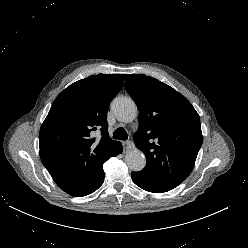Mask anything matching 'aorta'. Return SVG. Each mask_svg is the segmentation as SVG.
<instances>
[{
	"label": "aorta",
	"instance_id": "1",
	"mask_svg": "<svg viewBox=\"0 0 248 248\" xmlns=\"http://www.w3.org/2000/svg\"><path fill=\"white\" fill-rule=\"evenodd\" d=\"M113 111L116 118L124 123L132 122L138 114L135 102L129 97H120L113 102ZM125 163L132 171H141L146 165L145 155L135 148L125 155Z\"/></svg>",
	"mask_w": 248,
	"mask_h": 248
}]
</instances>
